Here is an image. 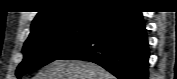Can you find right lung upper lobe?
<instances>
[{
  "label": "right lung upper lobe",
  "instance_id": "cb5924a9",
  "mask_svg": "<svg viewBox=\"0 0 177 79\" xmlns=\"http://www.w3.org/2000/svg\"><path fill=\"white\" fill-rule=\"evenodd\" d=\"M46 3L47 5L33 20L32 30L56 21L70 20L93 13L103 14L108 9L129 4L126 0H52Z\"/></svg>",
  "mask_w": 177,
  "mask_h": 79
}]
</instances>
